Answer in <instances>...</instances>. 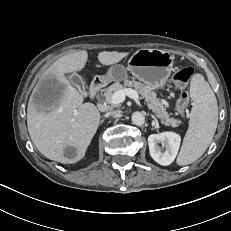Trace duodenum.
I'll return each instance as SVG.
<instances>
[{
    "mask_svg": "<svg viewBox=\"0 0 231 231\" xmlns=\"http://www.w3.org/2000/svg\"><path fill=\"white\" fill-rule=\"evenodd\" d=\"M105 86V81L102 78H95L89 89V96L91 99H94L101 89Z\"/></svg>",
    "mask_w": 231,
    "mask_h": 231,
    "instance_id": "duodenum-1",
    "label": "duodenum"
}]
</instances>
